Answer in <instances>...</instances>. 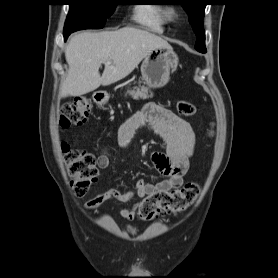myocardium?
Here are the masks:
<instances>
[{"instance_id":"f54148a6","label":"myocardium","mask_w":278,"mask_h":278,"mask_svg":"<svg viewBox=\"0 0 278 278\" xmlns=\"http://www.w3.org/2000/svg\"><path fill=\"white\" fill-rule=\"evenodd\" d=\"M179 15H180V10L176 6H170L165 9V16L169 21L176 20L179 17Z\"/></svg>"}]
</instances>
